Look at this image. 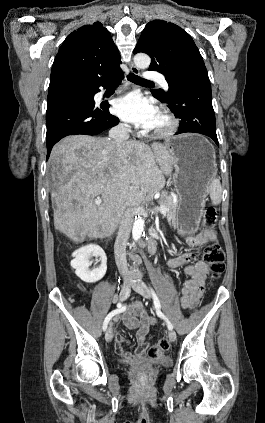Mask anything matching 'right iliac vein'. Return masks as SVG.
<instances>
[{"label": "right iliac vein", "instance_id": "63e3f726", "mask_svg": "<svg viewBox=\"0 0 265 423\" xmlns=\"http://www.w3.org/2000/svg\"><path fill=\"white\" fill-rule=\"evenodd\" d=\"M130 295V286L129 284H124L120 290L119 293V300L124 301L126 300ZM105 338L108 342L112 341L113 339V330L111 327H109L106 331Z\"/></svg>", "mask_w": 265, "mask_h": 423}]
</instances>
